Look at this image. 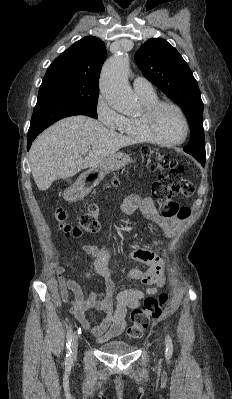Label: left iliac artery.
<instances>
[{"label":"left iliac artery","mask_w":232,"mask_h":399,"mask_svg":"<svg viewBox=\"0 0 232 399\" xmlns=\"http://www.w3.org/2000/svg\"><path fill=\"white\" fill-rule=\"evenodd\" d=\"M165 347H166L165 357L167 359H169V358L172 357V354H173V342H172V339H171V337L169 335L166 336Z\"/></svg>","instance_id":"left-iliac-artery-1"}]
</instances>
